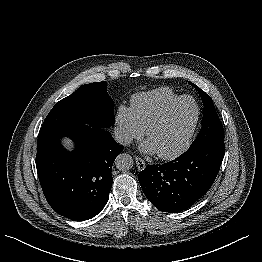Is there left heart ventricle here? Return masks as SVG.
I'll return each mask as SVG.
<instances>
[{"mask_svg": "<svg viewBox=\"0 0 262 262\" xmlns=\"http://www.w3.org/2000/svg\"><path fill=\"white\" fill-rule=\"evenodd\" d=\"M195 114V104L185 100L169 114L163 124L151 132L149 139L156 147L157 153L172 152L183 143Z\"/></svg>", "mask_w": 262, "mask_h": 262, "instance_id": "b2bd125f", "label": "left heart ventricle"}]
</instances>
